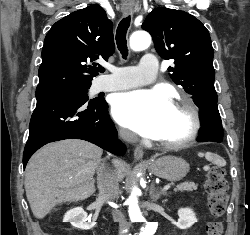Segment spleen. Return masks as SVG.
Wrapping results in <instances>:
<instances>
[{"label":"spleen","instance_id":"3e777b00","mask_svg":"<svg viewBox=\"0 0 250 235\" xmlns=\"http://www.w3.org/2000/svg\"><path fill=\"white\" fill-rule=\"evenodd\" d=\"M199 157H203L205 156L207 160L213 162L214 164H216L219 167L225 166L226 165V161L224 159H222L220 156L216 155V154H212V153H198Z\"/></svg>","mask_w":250,"mask_h":235}]
</instances>
